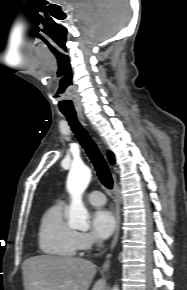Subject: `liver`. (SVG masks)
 Wrapping results in <instances>:
<instances>
[{"mask_svg":"<svg viewBox=\"0 0 187 290\" xmlns=\"http://www.w3.org/2000/svg\"><path fill=\"white\" fill-rule=\"evenodd\" d=\"M25 290H88L96 274V265L77 257L39 255L23 262ZM92 290H106L99 279Z\"/></svg>","mask_w":187,"mask_h":290,"instance_id":"liver-1","label":"liver"}]
</instances>
